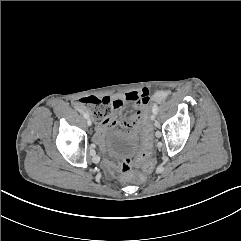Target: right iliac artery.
Instances as JSON below:
<instances>
[{"instance_id": "82829eb1", "label": "right iliac artery", "mask_w": 241, "mask_h": 241, "mask_svg": "<svg viewBox=\"0 0 241 241\" xmlns=\"http://www.w3.org/2000/svg\"><path fill=\"white\" fill-rule=\"evenodd\" d=\"M83 116H84L86 119L89 118V115H88L87 113H84ZM93 154H95V153L93 152Z\"/></svg>"}]
</instances>
